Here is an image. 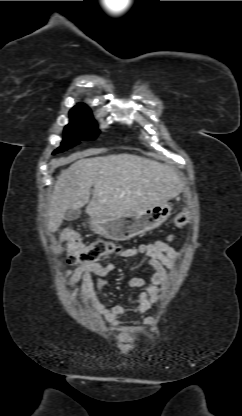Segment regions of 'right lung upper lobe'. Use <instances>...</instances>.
<instances>
[{"instance_id": "right-lung-upper-lobe-1", "label": "right lung upper lobe", "mask_w": 242, "mask_h": 416, "mask_svg": "<svg viewBox=\"0 0 242 416\" xmlns=\"http://www.w3.org/2000/svg\"><path fill=\"white\" fill-rule=\"evenodd\" d=\"M83 104H78L77 106H82Z\"/></svg>"}]
</instances>
